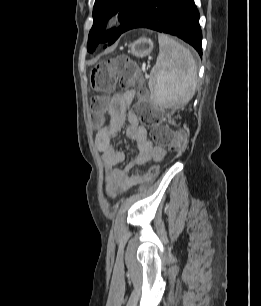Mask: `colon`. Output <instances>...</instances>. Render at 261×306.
I'll use <instances>...</instances> for the list:
<instances>
[{
	"label": "colon",
	"mask_w": 261,
	"mask_h": 306,
	"mask_svg": "<svg viewBox=\"0 0 261 306\" xmlns=\"http://www.w3.org/2000/svg\"><path fill=\"white\" fill-rule=\"evenodd\" d=\"M140 81L139 68L128 57L120 56L95 65L90 72V85L92 90L96 92V95L91 100L95 119L97 120L105 108V95L112 91L116 83L126 92L133 93ZM138 96L142 102L138 108L139 118L144 124L153 127V140L158 145L168 147L175 153L180 152L186 143V133L182 131L173 132L167 126L160 124L158 111L147 103L146 90L144 88L138 89ZM158 168V165L151 166L144 174V180L153 179L157 174Z\"/></svg>",
	"instance_id": "5ec220e1"
}]
</instances>
